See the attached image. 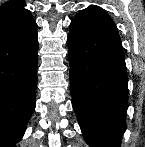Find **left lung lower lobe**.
<instances>
[{"label":"left lung lower lobe","mask_w":145,"mask_h":147,"mask_svg":"<svg viewBox=\"0 0 145 147\" xmlns=\"http://www.w3.org/2000/svg\"><path fill=\"white\" fill-rule=\"evenodd\" d=\"M67 41L72 104L82 134L91 147H120L128 80L116 25L91 5L71 21Z\"/></svg>","instance_id":"0a47b994"}]
</instances>
